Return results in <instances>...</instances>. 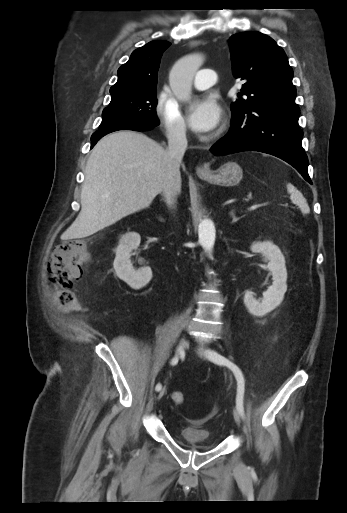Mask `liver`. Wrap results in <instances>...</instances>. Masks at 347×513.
I'll return each instance as SVG.
<instances>
[{
	"mask_svg": "<svg viewBox=\"0 0 347 513\" xmlns=\"http://www.w3.org/2000/svg\"><path fill=\"white\" fill-rule=\"evenodd\" d=\"M170 182L179 193L181 176L172 173L167 151L156 141L129 130L104 136L86 164L81 211L62 238L90 236L149 207Z\"/></svg>",
	"mask_w": 347,
	"mask_h": 513,
	"instance_id": "6515ba94",
	"label": "liver"
}]
</instances>
